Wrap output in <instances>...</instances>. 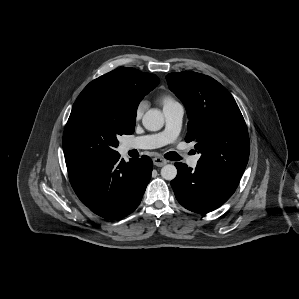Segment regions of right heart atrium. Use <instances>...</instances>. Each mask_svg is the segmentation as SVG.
<instances>
[{
    "label": "right heart atrium",
    "instance_id": "right-heart-atrium-1",
    "mask_svg": "<svg viewBox=\"0 0 299 299\" xmlns=\"http://www.w3.org/2000/svg\"><path fill=\"white\" fill-rule=\"evenodd\" d=\"M146 108V103L141 101L137 104V106L135 107L134 110V117L136 120H140L141 117L143 116V113L145 111Z\"/></svg>",
    "mask_w": 299,
    "mask_h": 299
}]
</instances>
